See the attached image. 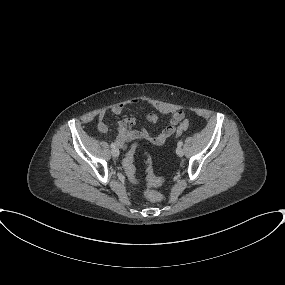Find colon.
<instances>
[{
  "mask_svg": "<svg viewBox=\"0 0 285 285\" xmlns=\"http://www.w3.org/2000/svg\"><path fill=\"white\" fill-rule=\"evenodd\" d=\"M188 127H189L188 121H184V120L181 121L176 131L177 134H180L181 132L186 130ZM134 153H135V149L131 148L123 160V167H124L127 177L132 182H137L138 179L136 176V169L134 166ZM146 167H147V173H148L149 186H155V185L160 184L161 180L155 177L153 174L152 161L150 159H147ZM146 197L152 202H161L163 200V196L159 192L154 191L152 189L147 190Z\"/></svg>",
  "mask_w": 285,
  "mask_h": 285,
  "instance_id": "5ec220e1",
  "label": "colon"
}]
</instances>
